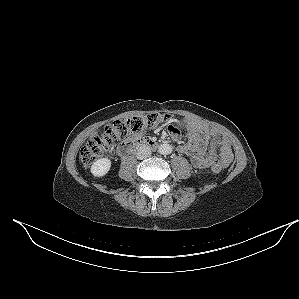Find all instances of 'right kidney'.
<instances>
[{"mask_svg": "<svg viewBox=\"0 0 299 299\" xmlns=\"http://www.w3.org/2000/svg\"><path fill=\"white\" fill-rule=\"evenodd\" d=\"M111 168V161L108 158L96 160L91 166V173L95 177L105 176Z\"/></svg>", "mask_w": 299, "mask_h": 299, "instance_id": "right-kidney-1", "label": "right kidney"}]
</instances>
